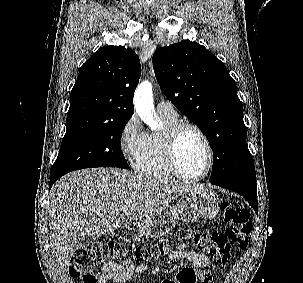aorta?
<instances>
[{"label":"aorta","instance_id":"1","mask_svg":"<svg viewBox=\"0 0 303 283\" xmlns=\"http://www.w3.org/2000/svg\"><path fill=\"white\" fill-rule=\"evenodd\" d=\"M134 106L141 120L148 125L151 130H156L161 123L157 119L153 105L152 85L148 81L139 84L134 95Z\"/></svg>","mask_w":303,"mask_h":283}]
</instances>
